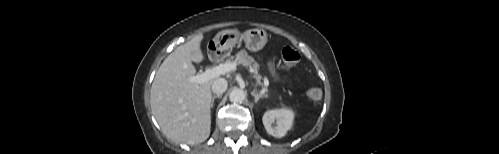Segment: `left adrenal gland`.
Here are the masks:
<instances>
[{
    "mask_svg": "<svg viewBox=\"0 0 499 154\" xmlns=\"http://www.w3.org/2000/svg\"><path fill=\"white\" fill-rule=\"evenodd\" d=\"M251 95L254 97V101L255 103H257L259 101L260 98H267L268 95L267 94H261V93H258L257 90H253L251 92Z\"/></svg>",
    "mask_w": 499,
    "mask_h": 154,
    "instance_id": "obj_1",
    "label": "left adrenal gland"
}]
</instances>
